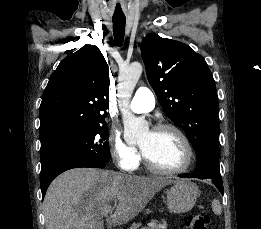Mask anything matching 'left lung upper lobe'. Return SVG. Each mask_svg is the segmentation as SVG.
<instances>
[{"label": "left lung upper lobe", "mask_w": 261, "mask_h": 229, "mask_svg": "<svg viewBox=\"0 0 261 229\" xmlns=\"http://www.w3.org/2000/svg\"><path fill=\"white\" fill-rule=\"evenodd\" d=\"M141 54L164 112L186 132L197 157L218 149L217 91L205 59L188 45L156 34L143 39Z\"/></svg>", "instance_id": "obj_1"}]
</instances>
